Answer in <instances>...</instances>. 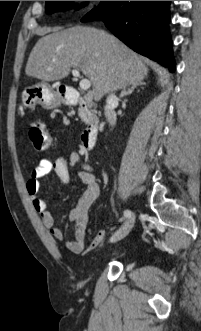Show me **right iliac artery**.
Returning <instances> with one entry per match:
<instances>
[{
  "label": "right iliac artery",
  "mask_w": 201,
  "mask_h": 331,
  "mask_svg": "<svg viewBox=\"0 0 201 331\" xmlns=\"http://www.w3.org/2000/svg\"><path fill=\"white\" fill-rule=\"evenodd\" d=\"M124 216H125L126 218H129V217L131 216V212H130L129 210H125V211H124Z\"/></svg>",
  "instance_id": "right-iliac-artery-1"
}]
</instances>
